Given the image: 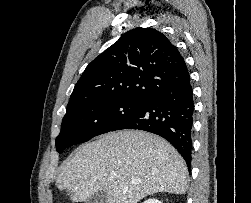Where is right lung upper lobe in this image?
Masks as SVG:
<instances>
[{
  "instance_id": "1",
  "label": "right lung upper lobe",
  "mask_w": 251,
  "mask_h": 203,
  "mask_svg": "<svg viewBox=\"0 0 251 203\" xmlns=\"http://www.w3.org/2000/svg\"><path fill=\"white\" fill-rule=\"evenodd\" d=\"M187 73L180 52L163 33L132 29L86 67L68 106L93 100L145 102Z\"/></svg>"
}]
</instances>
